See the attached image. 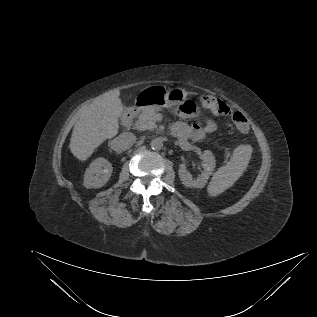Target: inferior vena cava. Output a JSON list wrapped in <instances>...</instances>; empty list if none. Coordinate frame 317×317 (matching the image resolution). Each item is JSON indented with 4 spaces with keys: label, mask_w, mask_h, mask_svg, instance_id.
<instances>
[{
    "label": "inferior vena cava",
    "mask_w": 317,
    "mask_h": 317,
    "mask_svg": "<svg viewBox=\"0 0 317 317\" xmlns=\"http://www.w3.org/2000/svg\"><path fill=\"white\" fill-rule=\"evenodd\" d=\"M136 142V137L132 133H122L110 142V147L114 151L121 153L131 148Z\"/></svg>",
    "instance_id": "inferior-vena-cava-1"
}]
</instances>
